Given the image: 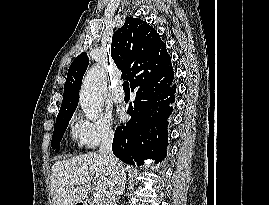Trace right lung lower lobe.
I'll list each match as a JSON object with an SVG mask.
<instances>
[{
	"label": "right lung lower lobe",
	"mask_w": 269,
	"mask_h": 205,
	"mask_svg": "<svg viewBox=\"0 0 269 205\" xmlns=\"http://www.w3.org/2000/svg\"><path fill=\"white\" fill-rule=\"evenodd\" d=\"M172 81L136 89L134 106L128 110L131 119L117 127L112 144L114 155L123 162L143 165L145 159H153L158 164L166 157L169 105L176 92Z\"/></svg>",
	"instance_id": "98d812e1"
}]
</instances>
